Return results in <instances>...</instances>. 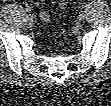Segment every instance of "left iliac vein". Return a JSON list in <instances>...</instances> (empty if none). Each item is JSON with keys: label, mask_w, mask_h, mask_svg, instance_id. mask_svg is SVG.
<instances>
[{"label": "left iliac vein", "mask_w": 111, "mask_h": 106, "mask_svg": "<svg viewBox=\"0 0 111 106\" xmlns=\"http://www.w3.org/2000/svg\"><path fill=\"white\" fill-rule=\"evenodd\" d=\"M85 18V13L84 12H80L78 15V20L81 21Z\"/></svg>", "instance_id": "4c4485c4"}]
</instances>
